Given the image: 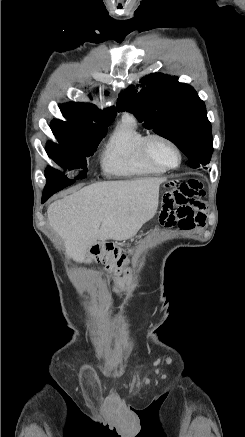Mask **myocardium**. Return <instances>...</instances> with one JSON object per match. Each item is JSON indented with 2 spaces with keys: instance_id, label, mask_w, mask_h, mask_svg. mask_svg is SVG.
I'll return each mask as SVG.
<instances>
[{
  "instance_id": "f54148a6",
  "label": "myocardium",
  "mask_w": 245,
  "mask_h": 437,
  "mask_svg": "<svg viewBox=\"0 0 245 437\" xmlns=\"http://www.w3.org/2000/svg\"><path fill=\"white\" fill-rule=\"evenodd\" d=\"M153 141H162L168 145H170L177 153L178 161L176 165L170 166L159 161L151 152L150 146ZM141 150L144 157L150 161L151 163L165 169V170H173L179 167L182 162V151L179 146L169 137L159 134V133H151L146 135L141 143Z\"/></svg>"
}]
</instances>
